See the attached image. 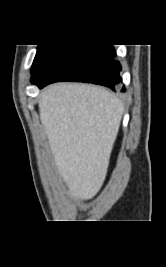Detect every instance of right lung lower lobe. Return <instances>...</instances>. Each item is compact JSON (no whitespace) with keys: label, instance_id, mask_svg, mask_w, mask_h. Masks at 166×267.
Masks as SVG:
<instances>
[{"label":"right lung lower lobe","instance_id":"98d812e1","mask_svg":"<svg viewBox=\"0 0 166 267\" xmlns=\"http://www.w3.org/2000/svg\"><path fill=\"white\" fill-rule=\"evenodd\" d=\"M121 64L112 45L55 44L32 72L42 88L57 81L86 82L124 91Z\"/></svg>","mask_w":166,"mask_h":267}]
</instances>
